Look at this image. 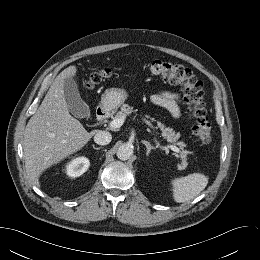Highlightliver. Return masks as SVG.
I'll return each mask as SVG.
<instances>
[{
    "instance_id": "obj_1",
    "label": "liver",
    "mask_w": 260,
    "mask_h": 260,
    "mask_svg": "<svg viewBox=\"0 0 260 260\" xmlns=\"http://www.w3.org/2000/svg\"><path fill=\"white\" fill-rule=\"evenodd\" d=\"M76 66H69L53 81L24 131V159L29 180L40 186L39 177L48 167L84 147L95 134L69 113L65 97V79L76 75Z\"/></svg>"
}]
</instances>
